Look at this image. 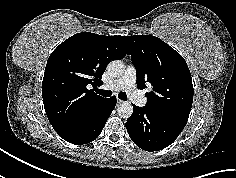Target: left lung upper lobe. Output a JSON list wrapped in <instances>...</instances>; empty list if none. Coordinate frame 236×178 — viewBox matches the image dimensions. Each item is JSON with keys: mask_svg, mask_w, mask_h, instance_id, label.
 <instances>
[{"mask_svg": "<svg viewBox=\"0 0 236 178\" xmlns=\"http://www.w3.org/2000/svg\"><path fill=\"white\" fill-rule=\"evenodd\" d=\"M137 85L153 90L145 94L147 108L187 121L193 102V84L184 58L161 39L149 35L125 36Z\"/></svg>", "mask_w": 236, "mask_h": 178, "instance_id": "obj_1", "label": "left lung upper lobe"}]
</instances>
